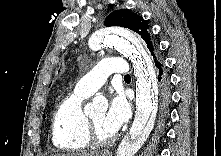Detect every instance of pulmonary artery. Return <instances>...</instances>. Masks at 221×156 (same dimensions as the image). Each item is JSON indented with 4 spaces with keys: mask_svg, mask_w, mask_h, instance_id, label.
Here are the masks:
<instances>
[{
    "mask_svg": "<svg viewBox=\"0 0 221 156\" xmlns=\"http://www.w3.org/2000/svg\"><path fill=\"white\" fill-rule=\"evenodd\" d=\"M129 71V65L123 58L103 59L78 81L75 90L90 96L106 82L111 74L126 75L129 74Z\"/></svg>",
    "mask_w": 221,
    "mask_h": 156,
    "instance_id": "1",
    "label": "pulmonary artery"
}]
</instances>
